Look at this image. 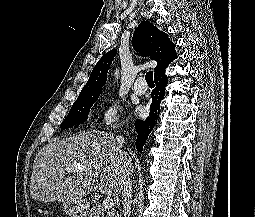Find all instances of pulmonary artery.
<instances>
[{"mask_svg":"<svg viewBox=\"0 0 255 217\" xmlns=\"http://www.w3.org/2000/svg\"><path fill=\"white\" fill-rule=\"evenodd\" d=\"M144 77H138L134 83L133 90L137 95H144L147 92V87L143 86Z\"/></svg>","mask_w":255,"mask_h":217,"instance_id":"e3ab8cb5","label":"pulmonary artery"}]
</instances>
